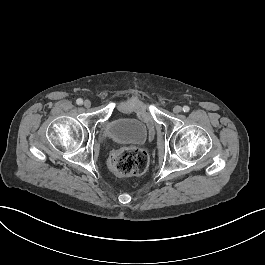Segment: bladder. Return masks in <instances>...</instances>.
Segmentation results:
<instances>
[{
    "mask_svg": "<svg viewBox=\"0 0 265 265\" xmlns=\"http://www.w3.org/2000/svg\"><path fill=\"white\" fill-rule=\"evenodd\" d=\"M107 136L118 143L141 144L148 136L146 125L134 118H115L106 126Z\"/></svg>",
    "mask_w": 265,
    "mask_h": 265,
    "instance_id": "31cf9c89",
    "label": "bladder"
}]
</instances>
